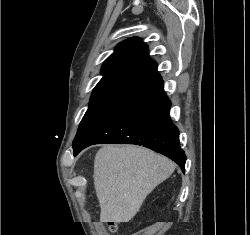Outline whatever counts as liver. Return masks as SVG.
Segmentation results:
<instances>
[{
  "label": "liver",
  "instance_id": "6515ba94",
  "mask_svg": "<svg viewBox=\"0 0 250 235\" xmlns=\"http://www.w3.org/2000/svg\"><path fill=\"white\" fill-rule=\"evenodd\" d=\"M175 170L166 157L138 146L105 145L94 159L102 222H129L147 195Z\"/></svg>",
  "mask_w": 250,
  "mask_h": 235
}]
</instances>
